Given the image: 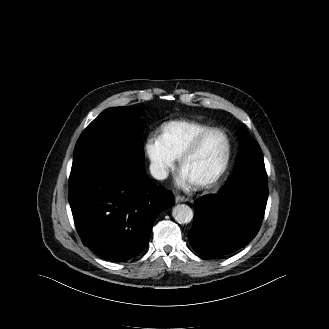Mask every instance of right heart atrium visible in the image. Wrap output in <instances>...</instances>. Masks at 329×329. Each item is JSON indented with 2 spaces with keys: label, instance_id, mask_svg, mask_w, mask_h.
I'll list each match as a JSON object with an SVG mask.
<instances>
[{
  "label": "right heart atrium",
  "instance_id": "1",
  "mask_svg": "<svg viewBox=\"0 0 329 329\" xmlns=\"http://www.w3.org/2000/svg\"><path fill=\"white\" fill-rule=\"evenodd\" d=\"M145 152L155 177L165 178L174 167L176 159L164 147L159 138L149 137L145 142Z\"/></svg>",
  "mask_w": 329,
  "mask_h": 329
}]
</instances>
